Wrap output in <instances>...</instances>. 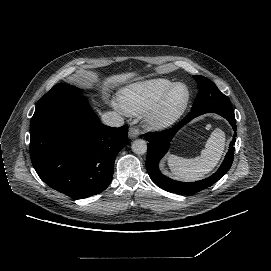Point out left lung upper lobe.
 <instances>
[{"label": "left lung upper lobe", "mask_w": 271, "mask_h": 271, "mask_svg": "<svg viewBox=\"0 0 271 271\" xmlns=\"http://www.w3.org/2000/svg\"><path fill=\"white\" fill-rule=\"evenodd\" d=\"M193 78L198 84V94L191 111L195 110H222L233 111L228 98L208 78L195 75Z\"/></svg>", "instance_id": "obj_1"}]
</instances>
